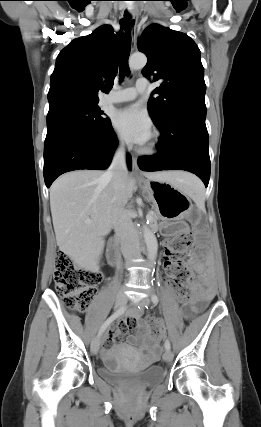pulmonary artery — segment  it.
<instances>
[{
  "instance_id": "pulmonary-artery-1",
  "label": "pulmonary artery",
  "mask_w": 261,
  "mask_h": 427,
  "mask_svg": "<svg viewBox=\"0 0 261 427\" xmlns=\"http://www.w3.org/2000/svg\"><path fill=\"white\" fill-rule=\"evenodd\" d=\"M148 81L144 78L139 79L134 87L125 88L119 92L107 95L103 100V105L121 103L134 100L140 93L148 88Z\"/></svg>"
}]
</instances>
